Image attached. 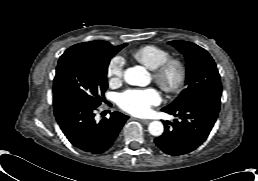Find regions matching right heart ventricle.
Instances as JSON below:
<instances>
[{"label":"right heart ventricle","instance_id":"right-heart-ventricle-1","mask_svg":"<svg viewBox=\"0 0 258 181\" xmlns=\"http://www.w3.org/2000/svg\"><path fill=\"white\" fill-rule=\"evenodd\" d=\"M169 56L170 54L167 50L156 45L142 46L133 53V57L138 62L151 70L155 69L164 61H166Z\"/></svg>","mask_w":258,"mask_h":181}]
</instances>
